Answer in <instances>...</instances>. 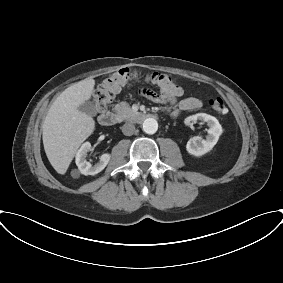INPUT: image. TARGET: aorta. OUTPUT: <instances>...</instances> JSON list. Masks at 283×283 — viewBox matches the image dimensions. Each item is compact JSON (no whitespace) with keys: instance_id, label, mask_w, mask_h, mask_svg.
Segmentation results:
<instances>
[{"instance_id":"obj_1","label":"aorta","mask_w":283,"mask_h":283,"mask_svg":"<svg viewBox=\"0 0 283 283\" xmlns=\"http://www.w3.org/2000/svg\"><path fill=\"white\" fill-rule=\"evenodd\" d=\"M158 130V123L154 118H147L143 122V131L147 134H154Z\"/></svg>"}]
</instances>
